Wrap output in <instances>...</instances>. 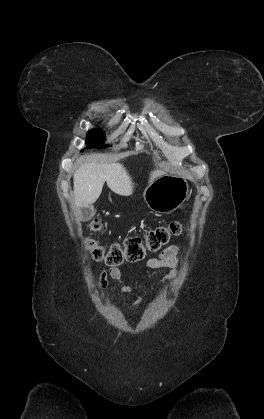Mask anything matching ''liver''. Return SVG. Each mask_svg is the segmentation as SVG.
<instances>
[{"label": "liver", "instance_id": "1", "mask_svg": "<svg viewBox=\"0 0 264 419\" xmlns=\"http://www.w3.org/2000/svg\"><path fill=\"white\" fill-rule=\"evenodd\" d=\"M165 172L155 169L150 173L149 183ZM74 198L76 207H87L99 198L105 182L116 194H132L134 184L127 170L120 163L100 164L84 162L74 173Z\"/></svg>", "mask_w": 264, "mask_h": 419}]
</instances>
